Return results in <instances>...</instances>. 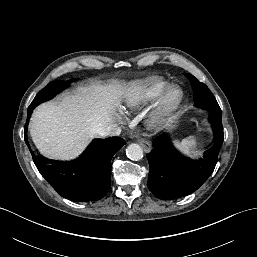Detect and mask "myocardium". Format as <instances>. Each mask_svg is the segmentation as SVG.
Wrapping results in <instances>:
<instances>
[{
  "label": "myocardium",
  "instance_id": "f54148a6",
  "mask_svg": "<svg viewBox=\"0 0 257 257\" xmlns=\"http://www.w3.org/2000/svg\"><path fill=\"white\" fill-rule=\"evenodd\" d=\"M183 91L179 86L170 85L160 94L158 102L151 112L147 124L151 129H158L166 118L180 105Z\"/></svg>",
  "mask_w": 257,
  "mask_h": 257
}]
</instances>
